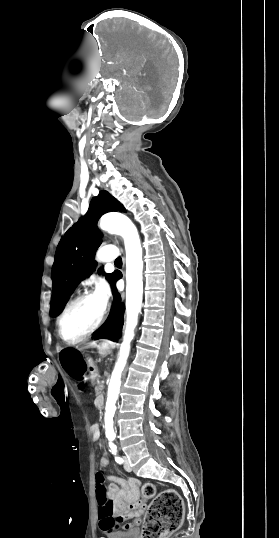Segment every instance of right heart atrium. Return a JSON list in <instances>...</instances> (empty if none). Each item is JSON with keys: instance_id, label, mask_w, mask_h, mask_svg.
I'll return each instance as SVG.
<instances>
[{"instance_id": "right-heart-atrium-1", "label": "right heart atrium", "mask_w": 279, "mask_h": 538, "mask_svg": "<svg viewBox=\"0 0 279 538\" xmlns=\"http://www.w3.org/2000/svg\"><path fill=\"white\" fill-rule=\"evenodd\" d=\"M109 233L110 234H113V235H118V236H121V234L119 232H117L115 229L113 228H109Z\"/></svg>"}]
</instances>
